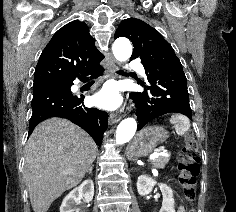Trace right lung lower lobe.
<instances>
[{
  "mask_svg": "<svg viewBox=\"0 0 236 212\" xmlns=\"http://www.w3.org/2000/svg\"><path fill=\"white\" fill-rule=\"evenodd\" d=\"M103 71V67L98 62L76 78L86 81L87 76L97 78L103 74ZM74 79L65 83L57 81L34 83L31 102L33 112L28 135L41 121L52 117H61L69 119L83 128L98 146L101 145L103 133L108 127V114L96 108L85 107L84 96L72 95L70 88Z\"/></svg>",
  "mask_w": 236,
  "mask_h": 212,
  "instance_id": "obj_1",
  "label": "right lung lower lobe"
}]
</instances>
